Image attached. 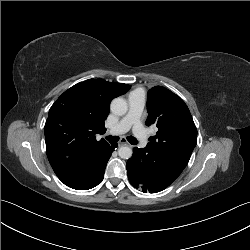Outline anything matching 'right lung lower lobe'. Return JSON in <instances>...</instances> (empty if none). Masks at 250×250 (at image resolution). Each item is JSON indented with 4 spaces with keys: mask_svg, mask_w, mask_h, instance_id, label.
<instances>
[{
    "mask_svg": "<svg viewBox=\"0 0 250 250\" xmlns=\"http://www.w3.org/2000/svg\"><path fill=\"white\" fill-rule=\"evenodd\" d=\"M116 147H117L116 143H110L103 149V151L98 159L96 168H95L94 178L92 179V181L88 185H86L83 188L78 189V190L91 189V188L95 187L96 185H98L103 180L104 170L106 168V164H107L113 150Z\"/></svg>",
    "mask_w": 250,
    "mask_h": 250,
    "instance_id": "obj_1",
    "label": "right lung lower lobe"
}]
</instances>
